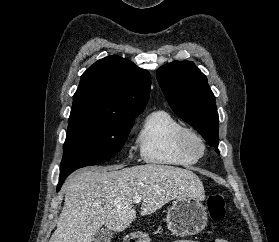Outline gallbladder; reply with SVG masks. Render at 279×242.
Segmentation results:
<instances>
[{"instance_id": "obj_1", "label": "gallbladder", "mask_w": 279, "mask_h": 242, "mask_svg": "<svg viewBox=\"0 0 279 242\" xmlns=\"http://www.w3.org/2000/svg\"><path fill=\"white\" fill-rule=\"evenodd\" d=\"M113 238V233L107 228H102L97 231L93 237L94 242H110Z\"/></svg>"}]
</instances>
